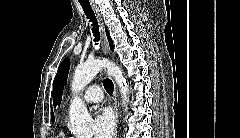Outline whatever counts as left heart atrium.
Listing matches in <instances>:
<instances>
[{"instance_id":"39dd6f15","label":"left heart atrium","mask_w":240,"mask_h":138,"mask_svg":"<svg viewBox=\"0 0 240 138\" xmlns=\"http://www.w3.org/2000/svg\"><path fill=\"white\" fill-rule=\"evenodd\" d=\"M114 130V118L107 108L97 111L93 123L92 134L94 138H110Z\"/></svg>"}]
</instances>
